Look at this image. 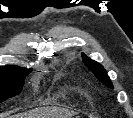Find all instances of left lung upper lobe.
Segmentation results:
<instances>
[{
  "label": "left lung upper lobe",
  "mask_w": 133,
  "mask_h": 118,
  "mask_svg": "<svg viewBox=\"0 0 133 118\" xmlns=\"http://www.w3.org/2000/svg\"><path fill=\"white\" fill-rule=\"evenodd\" d=\"M83 57V62L86 65V67L92 71V73L95 74V76L107 87L109 88H113V85L107 75V72L105 71V69L103 68L102 65H100L99 63H97L94 60H91L89 58L86 57L85 54L82 55Z\"/></svg>",
  "instance_id": "left-lung-upper-lobe-1"
}]
</instances>
